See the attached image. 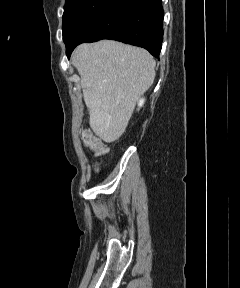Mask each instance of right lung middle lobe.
<instances>
[{
    "mask_svg": "<svg viewBox=\"0 0 240 288\" xmlns=\"http://www.w3.org/2000/svg\"><path fill=\"white\" fill-rule=\"evenodd\" d=\"M117 0H66L63 14V40L66 48L80 42L87 30Z\"/></svg>",
    "mask_w": 240,
    "mask_h": 288,
    "instance_id": "1",
    "label": "right lung middle lobe"
}]
</instances>
